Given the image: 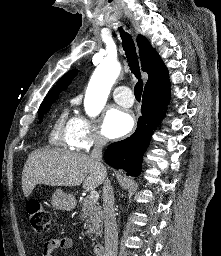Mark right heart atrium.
<instances>
[{"label": "right heart atrium", "instance_id": "1", "mask_svg": "<svg viewBox=\"0 0 221 256\" xmlns=\"http://www.w3.org/2000/svg\"><path fill=\"white\" fill-rule=\"evenodd\" d=\"M69 135L72 146L78 150L88 151L93 147H100L106 143L99 128L83 115L72 117Z\"/></svg>", "mask_w": 221, "mask_h": 256}]
</instances>
